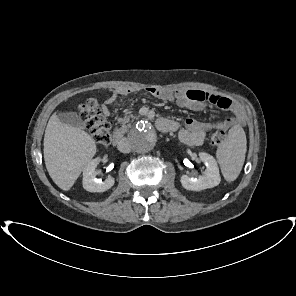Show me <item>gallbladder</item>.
Masks as SVG:
<instances>
[{
  "label": "gallbladder",
  "instance_id": "gallbladder-1",
  "mask_svg": "<svg viewBox=\"0 0 296 296\" xmlns=\"http://www.w3.org/2000/svg\"><path fill=\"white\" fill-rule=\"evenodd\" d=\"M58 119L61 123L76 128L83 127V122L75 112H61L58 115Z\"/></svg>",
  "mask_w": 296,
  "mask_h": 296
}]
</instances>
